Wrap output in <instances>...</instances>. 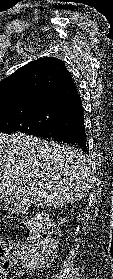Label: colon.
<instances>
[{
  "label": "colon",
  "instance_id": "1",
  "mask_svg": "<svg viewBox=\"0 0 113 279\" xmlns=\"http://www.w3.org/2000/svg\"><path fill=\"white\" fill-rule=\"evenodd\" d=\"M26 232L27 244L20 247L10 248L0 239V275L4 274L2 269L23 274L30 260H43L54 255L57 234L43 215L29 219Z\"/></svg>",
  "mask_w": 113,
  "mask_h": 279
}]
</instances>
